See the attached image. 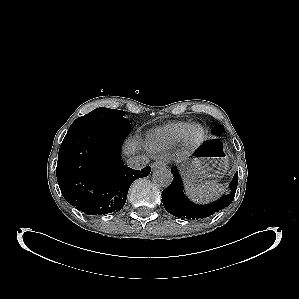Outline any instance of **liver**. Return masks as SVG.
I'll return each mask as SVG.
<instances>
[{
  "instance_id": "obj_1",
  "label": "liver",
  "mask_w": 299,
  "mask_h": 299,
  "mask_svg": "<svg viewBox=\"0 0 299 299\" xmlns=\"http://www.w3.org/2000/svg\"><path fill=\"white\" fill-rule=\"evenodd\" d=\"M137 142L136 141H129L125 148V153L127 155L133 153L136 150Z\"/></svg>"
}]
</instances>
